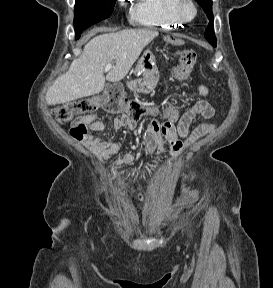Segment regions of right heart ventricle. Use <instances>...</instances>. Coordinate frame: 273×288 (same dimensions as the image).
Masks as SVG:
<instances>
[{"label": "right heart ventricle", "instance_id": "e07e8e85", "mask_svg": "<svg viewBox=\"0 0 273 288\" xmlns=\"http://www.w3.org/2000/svg\"><path fill=\"white\" fill-rule=\"evenodd\" d=\"M178 0H137L132 10L131 21L135 25L169 30L182 25L176 15Z\"/></svg>", "mask_w": 273, "mask_h": 288}]
</instances>
